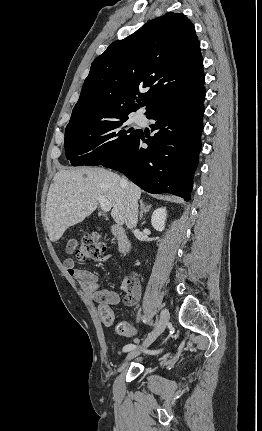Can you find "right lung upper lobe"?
I'll list each match as a JSON object with an SVG mask.
<instances>
[{"instance_id": "1", "label": "right lung upper lobe", "mask_w": 262, "mask_h": 431, "mask_svg": "<svg viewBox=\"0 0 262 431\" xmlns=\"http://www.w3.org/2000/svg\"><path fill=\"white\" fill-rule=\"evenodd\" d=\"M200 43L182 13L153 19L92 63L69 124L126 116L195 95L204 85Z\"/></svg>"}]
</instances>
